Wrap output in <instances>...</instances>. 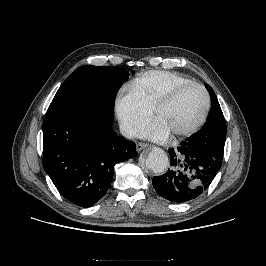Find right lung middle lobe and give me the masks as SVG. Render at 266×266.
<instances>
[{
	"label": "right lung middle lobe",
	"instance_id": "right-lung-middle-lobe-1",
	"mask_svg": "<svg viewBox=\"0 0 266 266\" xmlns=\"http://www.w3.org/2000/svg\"><path fill=\"white\" fill-rule=\"evenodd\" d=\"M127 78L128 72L118 67L82 66L64 81L52 103L94 106L113 113L116 93Z\"/></svg>",
	"mask_w": 266,
	"mask_h": 266
}]
</instances>
